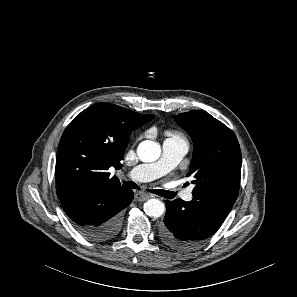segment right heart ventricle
<instances>
[{"label":"right heart ventricle","instance_id":"right-heart-ventricle-1","mask_svg":"<svg viewBox=\"0 0 297 297\" xmlns=\"http://www.w3.org/2000/svg\"><path fill=\"white\" fill-rule=\"evenodd\" d=\"M168 139H173V138H180V139H184L183 137H182V135L181 134H179V133H177V132H169L168 133Z\"/></svg>","mask_w":297,"mask_h":297}]
</instances>
